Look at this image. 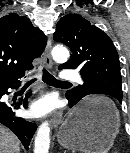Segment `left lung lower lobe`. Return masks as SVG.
I'll use <instances>...</instances> for the list:
<instances>
[{"instance_id": "left-lung-lower-lobe-1", "label": "left lung lower lobe", "mask_w": 130, "mask_h": 153, "mask_svg": "<svg viewBox=\"0 0 130 153\" xmlns=\"http://www.w3.org/2000/svg\"><path fill=\"white\" fill-rule=\"evenodd\" d=\"M76 103H77V101L69 100V106L70 107H73Z\"/></svg>"}]
</instances>
